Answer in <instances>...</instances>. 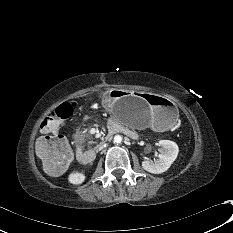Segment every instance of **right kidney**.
Listing matches in <instances>:
<instances>
[{"instance_id":"obj_1","label":"right kidney","mask_w":233,"mask_h":233,"mask_svg":"<svg viewBox=\"0 0 233 233\" xmlns=\"http://www.w3.org/2000/svg\"><path fill=\"white\" fill-rule=\"evenodd\" d=\"M84 180H85V175L81 172L71 173L68 177L69 183L74 184V185H79L83 183Z\"/></svg>"}]
</instances>
